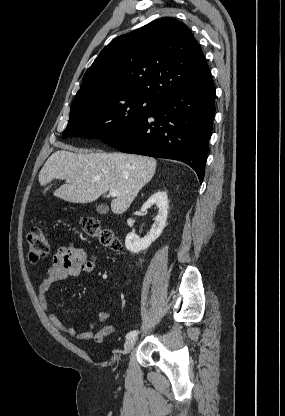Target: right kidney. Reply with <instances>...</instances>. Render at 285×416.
I'll return each mask as SVG.
<instances>
[{"label":"right kidney","mask_w":285,"mask_h":416,"mask_svg":"<svg viewBox=\"0 0 285 416\" xmlns=\"http://www.w3.org/2000/svg\"><path fill=\"white\" fill-rule=\"evenodd\" d=\"M151 206H158V214L155 218V224H153L148 236L139 238L137 234H127L125 240V246L132 254H138L141 250H147L151 246L152 242H155L162 234L164 226L166 224L167 210H168V198L166 192H156L153 194L141 208V212H146Z\"/></svg>","instance_id":"right-kidney-1"}]
</instances>
